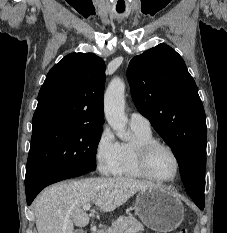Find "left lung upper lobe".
<instances>
[{"mask_svg":"<svg viewBox=\"0 0 227 233\" xmlns=\"http://www.w3.org/2000/svg\"><path fill=\"white\" fill-rule=\"evenodd\" d=\"M127 78L138 111L177 158L186 192L204 199L206 117L183 59L159 44L130 60Z\"/></svg>","mask_w":227,"mask_h":233,"instance_id":"5c2ea615","label":"left lung upper lobe"}]
</instances>
